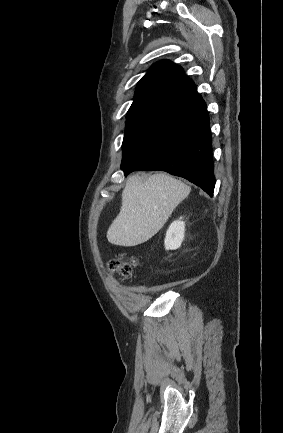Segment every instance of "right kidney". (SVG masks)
I'll return each instance as SVG.
<instances>
[{
	"label": "right kidney",
	"instance_id": "1",
	"mask_svg": "<svg viewBox=\"0 0 283 433\" xmlns=\"http://www.w3.org/2000/svg\"><path fill=\"white\" fill-rule=\"evenodd\" d=\"M181 219L182 217L172 222L166 232L164 242L166 250H176L181 246L185 234V222Z\"/></svg>",
	"mask_w": 283,
	"mask_h": 433
}]
</instances>
